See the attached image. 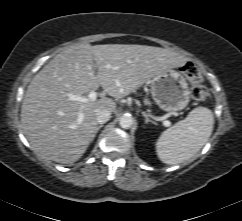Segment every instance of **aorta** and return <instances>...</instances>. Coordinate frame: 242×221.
Listing matches in <instances>:
<instances>
[{"mask_svg":"<svg viewBox=\"0 0 242 221\" xmlns=\"http://www.w3.org/2000/svg\"><path fill=\"white\" fill-rule=\"evenodd\" d=\"M133 118L129 114H124L123 116L120 117L119 119V125L123 129H129L133 125Z\"/></svg>","mask_w":242,"mask_h":221,"instance_id":"aorta-1","label":"aorta"}]
</instances>
